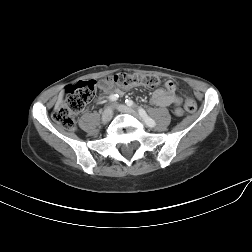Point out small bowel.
I'll return each instance as SVG.
<instances>
[{
    "instance_id": "small-bowel-1",
    "label": "small bowel",
    "mask_w": 252,
    "mask_h": 252,
    "mask_svg": "<svg viewBox=\"0 0 252 252\" xmlns=\"http://www.w3.org/2000/svg\"><path fill=\"white\" fill-rule=\"evenodd\" d=\"M99 88L104 95H122L123 91L117 90L114 87L108 85L105 80L99 82ZM175 86L170 87L168 84L165 85L164 89H157L153 92L151 96V103L159 107H168V106H180L181 100L174 93ZM109 96V97H110ZM104 97H100L98 101H103Z\"/></svg>"
}]
</instances>
